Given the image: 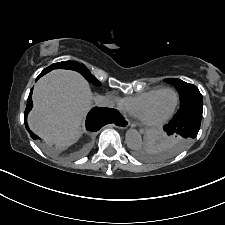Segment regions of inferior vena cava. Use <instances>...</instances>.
<instances>
[{"label":"inferior vena cava","mask_w":225,"mask_h":225,"mask_svg":"<svg viewBox=\"0 0 225 225\" xmlns=\"http://www.w3.org/2000/svg\"><path fill=\"white\" fill-rule=\"evenodd\" d=\"M94 102H95V106H98V107H113L114 106V103L113 101L106 97V96H96L94 98Z\"/></svg>","instance_id":"1"}]
</instances>
